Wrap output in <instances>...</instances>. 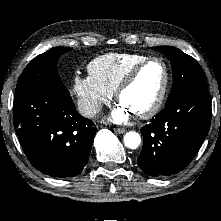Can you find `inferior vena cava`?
Segmentation results:
<instances>
[{
  "label": "inferior vena cava",
  "instance_id": "1",
  "mask_svg": "<svg viewBox=\"0 0 221 221\" xmlns=\"http://www.w3.org/2000/svg\"><path fill=\"white\" fill-rule=\"evenodd\" d=\"M101 111V106L97 103L84 101L79 104V112L82 116L92 118Z\"/></svg>",
  "mask_w": 221,
  "mask_h": 221
}]
</instances>
